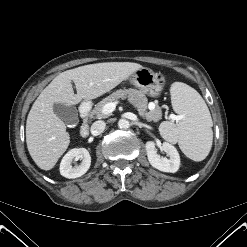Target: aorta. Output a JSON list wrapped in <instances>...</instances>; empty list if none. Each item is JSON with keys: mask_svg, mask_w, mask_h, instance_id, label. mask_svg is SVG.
I'll use <instances>...</instances> for the list:
<instances>
[{"mask_svg": "<svg viewBox=\"0 0 247 247\" xmlns=\"http://www.w3.org/2000/svg\"><path fill=\"white\" fill-rule=\"evenodd\" d=\"M118 127L121 129H127L130 127V122L126 119H120L118 121Z\"/></svg>", "mask_w": 247, "mask_h": 247, "instance_id": "obj_1", "label": "aorta"}]
</instances>
